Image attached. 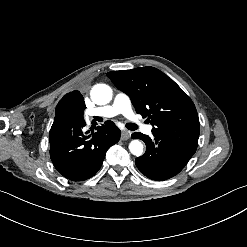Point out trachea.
Returning <instances> with one entry per match:
<instances>
[{"label":"trachea","instance_id":"3493384b","mask_svg":"<svg viewBox=\"0 0 247 247\" xmlns=\"http://www.w3.org/2000/svg\"><path fill=\"white\" fill-rule=\"evenodd\" d=\"M126 127L129 129V130H137L139 128V126L135 123H127L126 124Z\"/></svg>","mask_w":247,"mask_h":247}]
</instances>
